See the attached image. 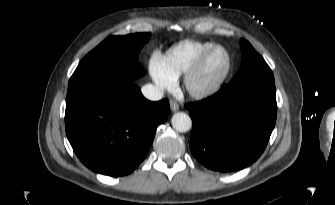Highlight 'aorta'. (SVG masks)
<instances>
[{
  "label": "aorta",
  "instance_id": "762f6f07",
  "mask_svg": "<svg viewBox=\"0 0 335 205\" xmlns=\"http://www.w3.org/2000/svg\"><path fill=\"white\" fill-rule=\"evenodd\" d=\"M171 123L173 128L179 132H187L192 127V120L184 112H177L172 116Z\"/></svg>",
  "mask_w": 335,
  "mask_h": 205
}]
</instances>
